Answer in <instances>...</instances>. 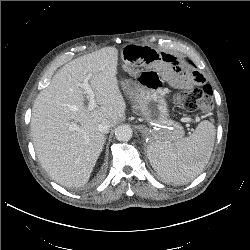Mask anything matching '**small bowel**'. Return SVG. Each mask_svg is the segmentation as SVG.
<instances>
[{
    "label": "small bowel",
    "instance_id": "small-bowel-1",
    "mask_svg": "<svg viewBox=\"0 0 250 250\" xmlns=\"http://www.w3.org/2000/svg\"><path fill=\"white\" fill-rule=\"evenodd\" d=\"M122 58L125 70L131 75H137L145 71H152L156 68H169L175 62L168 54H159L156 51L144 46H127L122 51ZM176 83L185 89L201 85L204 77L198 73H189L184 77H176Z\"/></svg>",
    "mask_w": 250,
    "mask_h": 250
}]
</instances>
